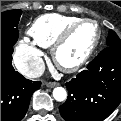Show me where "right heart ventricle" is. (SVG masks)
<instances>
[{
  "label": "right heart ventricle",
  "mask_w": 121,
  "mask_h": 121,
  "mask_svg": "<svg viewBox=\"0 0 121 121\" xmlns=\"http://www.w3.org/2000/svg\"><path fill=\"white\" fill-rule=\"evenodd\" d=\"M80 18L60 14H45L31 24L29 34L32 41L41 47H51L57 37Z\"/></svg>",
  "instance_id": "1"
}]
</instances>
